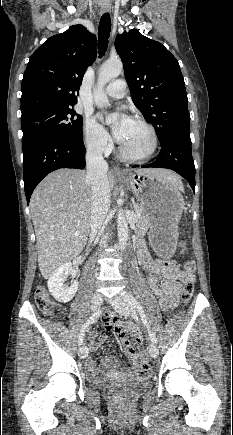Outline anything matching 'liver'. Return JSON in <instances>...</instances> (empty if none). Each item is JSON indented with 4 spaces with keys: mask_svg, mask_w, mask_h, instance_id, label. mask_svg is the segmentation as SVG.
Here are the masks:
<instances>
[{
    "mask_svg": "<svg viewBox=\"0 0 233 435\" xmlns=\"http://www.w3.org/2000/svg\"><path fill=\"white\" fill-rule=\"evenodd\" d=\"M135 173L159 176L183 189L180 177L170 170L149 168L135 170ZM107 179L111 190L114 176L108 174ZM90 184L83 170L58 169L48 174L31 196L38 265L44 279L77 257L87 243L91 217ZM76 231L80 232L78 236Z\"/></svg>",
    "mask_w": 233,
    "mask_h": 435,
    "instance_id": "obj_1",
    "label": "liver"
}]
</instances>
